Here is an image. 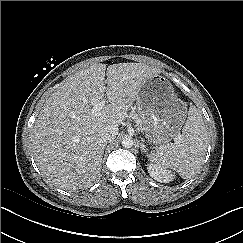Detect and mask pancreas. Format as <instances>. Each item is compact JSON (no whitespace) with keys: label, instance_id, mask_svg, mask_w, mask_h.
<instances>
[{"label":"pancreas","instance_id":"cf45deb5","mask_svg":"<svg viewBox=\"0 0 243 243\" xmlns=\"http://www.w3.org/2000/svg\"><path fill=\"white\" fill-rule=\"evenodd\" d=\"M131 116H132L135 120L139 121L140 126L143 128V121L140 119V117H139L135 112H132V113H131Z\"/></svg>","mask_w":243,"mask_h":243}]
</instances>
